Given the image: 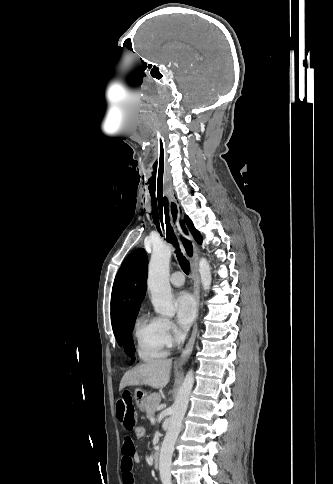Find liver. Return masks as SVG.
Here are the masks:
<instances>
[{"label":"liver","mask_w":333,"mask_h":484,"mask_svg":"<svg viewBox=\"0 0 333 484\" xmlns=\"http://www.w3.org/2000/svg\"><path fill=\"white\" fill-rule=\"evenodd\" d=\"M171 368V359L150 360L140 364L123 375L119 390L131 385H148L154 389H162L169 382Z\"/></svg>","instance_id":"liver-1"}]
</instances>
